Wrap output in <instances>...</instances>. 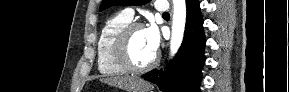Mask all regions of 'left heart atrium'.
Here are the masks:
<instances>
[{"label":"left heart atrium","instance_id":"obj_1","mask_svg":"<svg viewBox=\"0 0 289 92\" xmlns=\"http://www.w3.org/2000/svg\"><path fill=\"white\" fill-rule=\"evenodd\" d=\"M146 36L151 49L156 53L160 45V36L157 27L150 24L146 29Z\"/></svg>","mask_w":289,"mask_h":92}]
</instances>
